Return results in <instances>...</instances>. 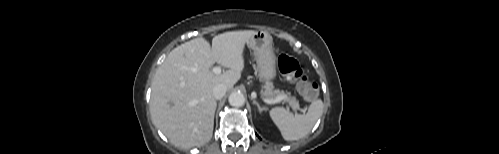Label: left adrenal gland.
<instances>
[{
  "instance_id": "a2214340",
  "label": "left adrenal gland",
  "mask_w": 499,
  "mask_h": 154,
  "mask_svg": "<svg viewBox=\"0 0 499 154\" xmlns=\"http://www.w3.org/2000/svg\"><path fill=\"white\" fill-rule=\"evenodd\" d=\"M253 104H255L258 108V111L261 113L262 111L266 110L265 107H261L259 103L253 99Z\"/></svg>"
}]
</instances>
